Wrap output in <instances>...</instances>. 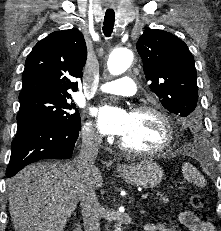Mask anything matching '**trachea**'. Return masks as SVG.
I'll return each mask as SVG.
<instances>
[{"label": "trachea", "mask_w": 221, "mask_h": 231, "mask_svg": "<svg viewBox=\"0 0 221 231\" xmlns=\"http://www.w3.org/2000/svg\"><path fill=\"white\" fill-rule=\"evenodd\" d=\"M115 23V13L112 10H107L103 22V33L109 37L113 32Z\"/></svg>", "instance_id": "3493384b"}]
</instances>
